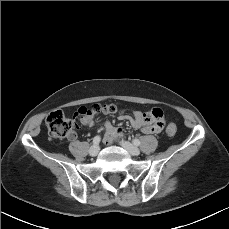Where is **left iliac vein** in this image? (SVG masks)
Here are the masks:
<instances>
[{
	"mask_svg": "<svg viewBox=\"0 0 229 229\" xmlns=\"http://www.w3.org/2000/svg\"><path fill=\"white\" fill-rule=\"evenodd\" d=\"M120 145L133 156H137L140 154L139 148L128 141L122 140L120 141Z\"/></svg>",
	"mask_w": 229,
	"mask_h": 229,
	"instance_id": "obj_1",
	"label": "left iliac vein"
}]
</instances>
